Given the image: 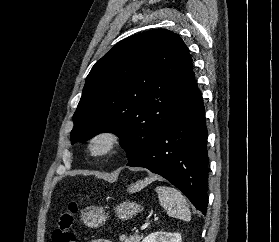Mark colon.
Returning <instances> with one entry per match:
<instances>
[{
    "label": "colon",
    "mask_w": 279,
    "mask_h": 242,
    "mask_svg": "<svg viewBox=\"0 0 279 242\" xmlns=\"http://www.w3.org/2000/svg\"><path fill=\"white\" fill-rule=\"evenodd\" d=\"M79 206L80 202L71 201L66 209L59 212L57 226L52 232L51 242H76L72 227Z\"/></svg>",
    "instance_id": "colon-1"
}]
</instances>
